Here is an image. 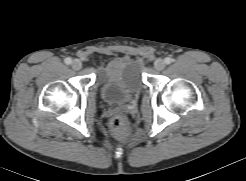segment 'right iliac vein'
<instances>
[{"mask_svg":"<svg viewBox=\"0 0 246 181\" xmlns=\"http://www.w3.org/2000/svg\"><path fill=\"white\" fill-rule=\"evenodd\" d=\"M71 66H72L73 69L79 70V69H81V67H82V63H81L80 60L74 59V60L72 61V63H71Z\"/></svg>","mask_w":246,"mask_h":181,"instance_id":"right-iliac-vein-1","label":"right iliac vein"}]
</instances>
